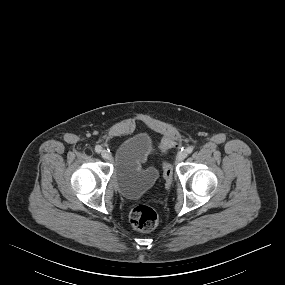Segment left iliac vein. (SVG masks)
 <instances>
[{
	"mask_svg": "<svg viewBox=\"0 0 285 285\" xmlns=\"http://www.w3.org/2000/svg\"><path fill=\"white\" fill-rule=\"evenodd\" d=\"M186 157H187V152L185 150L184 151H180L177 154V160L178 161H183Z\"/></svg>",
	"mask_w": 285,
	"mask_h": 285,
	"instance_id": "4c4485c4",
	"label": "left iliac vein"
}]
</instances>
